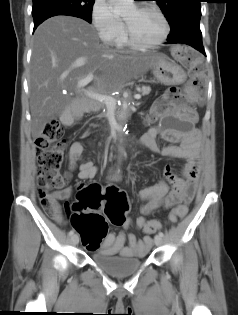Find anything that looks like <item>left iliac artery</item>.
<instances>
[{
    "instance_id": "44dca946",
    "label": "left iliac artery",
    "mask_w": 238,
    "mask_h": 315,
    "mask_svg": "<svg viewBox=\"0 0 238 315\" xmlns=\"http://www.w3.org/2000/svg\"><path fill=\"white\" fill-rule=\"evenodd\" d=\"M158 235L161 236V237H164L163 232H159Z\"/></svg>"
}]
</instances>
